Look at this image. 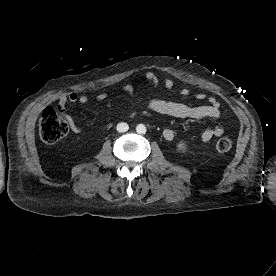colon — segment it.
<instances>
[{
  "label": "colon",
  "mask_w": 276,
  "mask_h": 276,
  "mask_svg": "<svg viewBox=\"0 0 276 276\" xmlns=\"http://www.w3.org/2000/svg\"><path fill=\"white\" fill-rule=\"evenodd\" d=\"M69 131V124L57 110L53 107H47L39 121V133L41 139L48 144H53L64 138ZM232 147L231 139L224 137L220 138L215 145V148L220 153L228 152Z\"/></svg>",
  "instance_id": "obj_1"
}]
</instances>
